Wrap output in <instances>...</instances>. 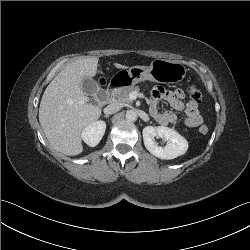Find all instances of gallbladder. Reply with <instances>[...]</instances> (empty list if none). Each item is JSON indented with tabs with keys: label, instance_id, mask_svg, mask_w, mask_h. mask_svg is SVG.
<instances>
[{
	"label": "gallbladder",
	"instance_id": "obj_1",
	"mask_svg": "<svg viewBox=\"0 0 250 250\" xmlns=\"http://www.w3.org/2000/svg\"><path fill=\"white\" fill-rule=\"evenodd\" d=\"M83 91L90 96L97 95L102 92L98 83L92 78H85L82 82ZM92 103H95L94 100H91Z\"/></svg>",
	"mask_w": 250,
	"mask_h": 250
}]
</instances>
